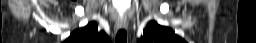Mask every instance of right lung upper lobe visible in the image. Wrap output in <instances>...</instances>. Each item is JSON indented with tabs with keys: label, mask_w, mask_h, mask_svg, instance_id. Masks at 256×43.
I'll return each mask as SVG.
<instances>
[{
	"label": "right lung upper lobe",
	"mask_w": 256,
	"mask_h": 43,
	"mask_svg": "<svg viewBox=\"0 0 256 43\" xmlns=\"http://www.w3.org/2000/svg\"><path fill=\"white\" fill-rule=\"evenodd\" d=\"M104 31L98 32L96 22L88 23L85 27L74 31L64 43H110Z\"/></svg>",
	"instance_id": "cb5924a9"
}]
</instances>
